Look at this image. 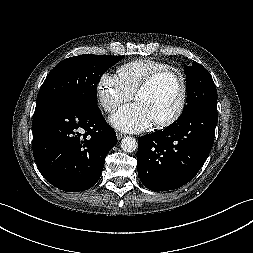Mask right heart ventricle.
<instances>
[{
  "label": "right heart ventricle",
  "instance_id": "e07e8e85",
  "mask_svg": "<svg viewBox=\"0 0 253 253\" xmlns=\"http://www.w3.org/2000/svg\"><path fill=\"white\" fill-rule=\"evenodd\" d=\"M168 68L164 62L140 58L126 62L118 67L117 77L121 83L134 94L140 84L153 72Z\"/></svg>",
  "mask_w": 253,
  "mask_h": 253
}]
</instances>
